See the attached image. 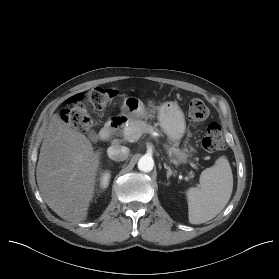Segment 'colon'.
<instances>
[{
  "label": "colon",
  "instance_id": "5ec220e1",
  "mask_svg": "<svg viewBox=\"0 0 279 279\" xmlns=\"http://www.w3.org/2000/svg\"><path fill=\"white\" fill-rule=\"evenodd\" d=\"M117 96V89L105 87H95L89 91L78 93L62 109L61 119L79 131L86 132L92 126L87 105L101 111L109 106ZM208 114V107L202 100L193 99L189 102L188 116L191 122H202ZM202 146L209 152L221 150L226 146L223 129L219 123L212 122L208 125Z\"/></svg>",
  "mask_w": 279,
  "mask_h": 279
}]
</instances>
